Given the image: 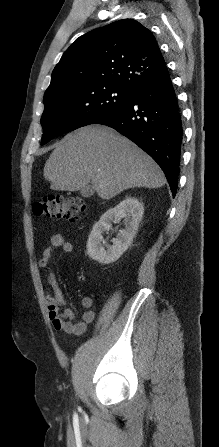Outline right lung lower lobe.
Wrapping results in <instances>:
<instances>
[{"instance_id": "right-lung-lower-lobe-1", "label": "right lung lower lobe", "mask_w": 219, "mask_h": 447, "mask_svg": "<svg viewBox=\"0 0 219 447\" xmlns=\"http://www.w3.org/2000/svg\"><path fill=\"white\" fill-rule=\"evenodd\" d=\"M92 124L109 126L128 137L162 168L173 197L178 174L183 124L170 76L145 87L126 104L104 114Z\"/></svg>"}]
</instances>
